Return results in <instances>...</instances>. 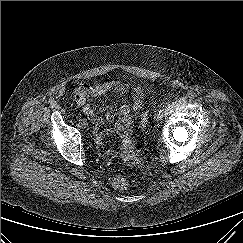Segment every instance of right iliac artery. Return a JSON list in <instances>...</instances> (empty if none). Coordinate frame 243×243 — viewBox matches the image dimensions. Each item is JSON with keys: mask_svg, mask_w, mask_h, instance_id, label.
I'll return each mask as SVG.
<instances>
[{"mask_svg": "<svg viewBox=\"0 0 243 243\" xmlns=\"http://www.w3.org/2000/svg\"><path fill=\"white\" fill-rule=\"evenodd\" d=\"M76 119H77V120H81V115L78 114V115L76 116Z\"/></svg>", "mask_w": 243, "mask_h": 243, "instance_id": "82829eb1", "label": "right iliac artery"}]
</instances>
